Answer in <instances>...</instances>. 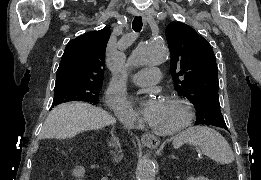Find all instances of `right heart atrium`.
Segmentation results:
<instances>
[{
    "label": "right heart atrium",
    "instance_id": "right-heart-atrium-1",
    "mask_svg": "<svg viewBox=\"0 0 261 180\" xmlns=\"http://www.w3.org/2000/svg\"><path fill=\"white\" fill-rule=\"evenodd\" d=\"M104 104L107 108H110L111 112H115L118 116L124 114L126 117H129L125 97L116 92L112 87L108 88L105 92Z\"/></svg>",
    "mask_w": 261,
    "mask_h": 180
}]
</instances>
